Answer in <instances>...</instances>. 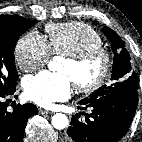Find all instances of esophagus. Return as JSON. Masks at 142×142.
I'll list each match as a JSON object with an SVG mask.
<instances>
[{
	"label": "esophagus",
	"instance_id": "34e87169",
	"mask_svg": "<svg viewBox=\"0 0 142 142\" xmlns=\"http://www.w3.org/2000/svg\"><path fill=\"white\" fill-rule=\"evenodd\" d=\"M39 113L41 115H47V114H51L52 112L48 111V110H45V109H39Z\"/></svg>",
	"mask_w": 142,
	"mask_h": 142
}]
</instances>
